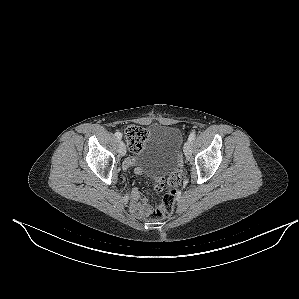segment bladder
Listing matches in <instances>:
<instances>
[{
  "mask_svg": "<svg viewBox=\"0 0 299 299\" xmlns=\"http://www.w3.org/2000/svg\"><path fill=\"white\" fill-rule=\"evenodd\" d=\"M181 133L177 128L154 125L137 157L138 166L150 173L173 169L180 157Z\"/></svg>",
  "mask_w": 299,
  "mask_h": 299,
  "instance_id": "obj_1",
  "label": "bladder"
}]
</instances>
